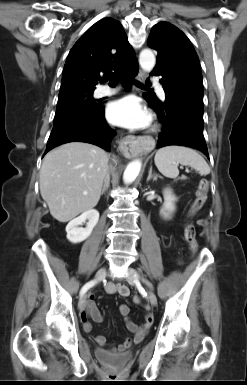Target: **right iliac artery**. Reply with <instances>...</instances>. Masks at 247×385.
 <instances>
[{
  "instance_id": "1",
  "label": "right iliac artery",
  "mask_w": 247,
  "mask_h": 385,
  "mask_svg": "<svg viewBox=\"0 0 247 385\" xmlns=\"http://www.w3.org/2000/svg\"><path fill=\"white\" fill-rule=\"evenodd\" d=\"M94 284H95L94 281H90V282L86 283V284L82 287V289H81V291H80V296H82L83 294H85L86 291H87L89 288H91Z\"/></svg>"
}]
</instances>
